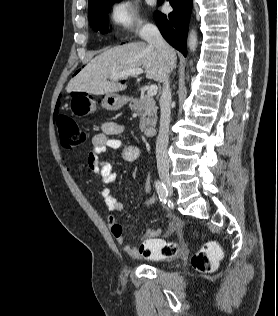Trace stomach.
<instances>
[{
    "label": "stomach",
    "mask_w": 278,
    "mask_h": 316,
    "mask_svg": "<svg viewBox=\"0 0 278 316\" xmlns=\"http://www.w3.org/2000/svg\"><path fill=\"white\" fill-rule=\"evenodd\" d=\"M127 102V98L116 94H106L101 105L107 110H118ZM96 108L95 101L80 93H71L69 101V109L72 115L83 117L92 113Z\"/></svg>",
    "instance_id": "0dacf381"
}]
</instances>
